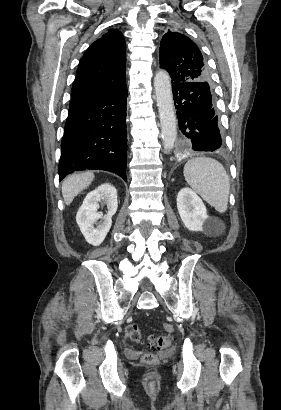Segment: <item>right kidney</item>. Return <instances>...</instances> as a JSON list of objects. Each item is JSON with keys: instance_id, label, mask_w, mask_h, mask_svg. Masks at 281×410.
Listing matches in <instances>:
<instances>
[{"instance_id": "right-kidney-1", "label": "right kidney", "mask_w": 281, "mask_h": 410, "mask_svg": "<svg viewBox=\"0 0 281 410\" xmlns=\"http://www.w3.org/2000/svg\"><path fill=\"white\" fill-rule=\"evenodd\" d=\"M99 202L106 203L108 212L103 217V221L94 227L96 221L101 218L97 212ZM117 208V191L110 183H104L87 194L77 212L76 222L89 244L98 246L103 242L111 228L112 216L116 213Z\"/></svg>"}]
</instances>
